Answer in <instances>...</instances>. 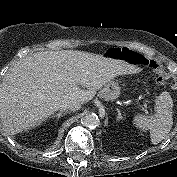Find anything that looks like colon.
Here are the masks:
<instances>
[{
	"label": "colon",
	"mask_w": 177,
	"mask_h": 177,
	"mask_svg": "<svg viewBox=\"0 0 177 177\" xmlns=\"http://www.w3.org/2000/svg\"><path fill=\"white\" fill-rule=\"evenodd\" d=\"M148 66L151 68V70L154 72L155 76V81L158 85H165L166 83V79L165 77L160 73V68L159 65L154 62V61H150L147 63Z\"/></svg>",
	"instance_id": "5ec220e1"
}]
</instances>
